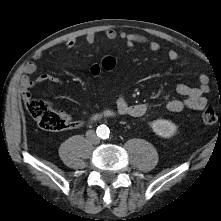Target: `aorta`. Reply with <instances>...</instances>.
<instances>
[{"instance_id":"aorta-1","label":"aorta","mask_w":221,"mask_h":221,"mask_svg":"<svg viewBox=\"0 0 221 221\" xmlns=\"http://www.w3.org/2000/svg\"><path fill=\"white\" fill-rule=\"evenodd\" d=\"M97 134H98L99 137H101L103 139H106V138L109 137L110 130L106 125H100L97 128Z\"/></svg>"}]
</instances>
